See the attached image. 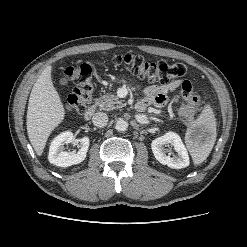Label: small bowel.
<instances>
[{
    "label": "small bowel",
    "instance_id": "c3829d8e",
    "mask_svg": "<svg viewBox=\"0 0 247 247\" xmlns=\"http://www.w3.org/2000/svg\"><path fill=\"white\" fill-rule=\"evenodd\" d=\"M179 81H173L164 85H151L145 89V98L142 100L147 106L162 107L168 102L167 93L173 91L179 85Z\"/></svg>",
    "mask_w": 247,
    "mask_h": 247
}]
</instances>
